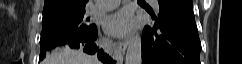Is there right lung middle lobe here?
<instances>
[{
	"label": "right lung middle lobe",
	"mask_w": 242,
	"mask_h": 64,
	"mask_svg": "<svg viewBox=\"0 0 242 64\" xmlns=\"http://www.w3.org/2000/svg\"><path fill=\"white\" fill-rule=\"evenodd\" d=\"M41 52L74 39L93 34L97 28L85 14V7L43 13Z\"/></svg>",
	"instance_id": "right-lung-middle-lobe-1"
}]
</instances>
